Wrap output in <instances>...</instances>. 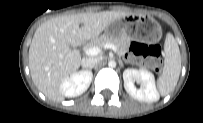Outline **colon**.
Segmentation results:
<instances>
[{
	"mask_svg": "<svg viewBox=\"0 0 203 123\" xmlns=\"http://www.w3.org/2000/svg\"><path fill=\"white\" fill-rule=\"evenodd\" d=\"M148 55L150 56V60L152 61L154 70L156 72H160L162 69V62L160 59V49L153 47L149 50Z\"/></svg>",
	"mask_w": 203,
	"mask_h": 123,
	"instance_id": "colon-1",
	"label": "colon"
}]
</instances>
